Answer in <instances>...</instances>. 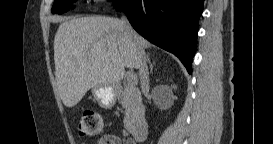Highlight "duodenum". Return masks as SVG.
I'll return each mask as SVG.
<instances>
[{"label": "duodenum", "instance_id": "1", "mask_svg": "<svg viewBox=\"0 0 273 144\" xmlns=\"http://www.w3.org/2000/svg\"><path fill=\"white\" fill-rule=\"evenodd\" d=\"M133 138L137 142H143L148 136V123L145 118H141L131 127Z\"/></svg>", "mask_w": 273, "mask_h": 144}]
</instances>
